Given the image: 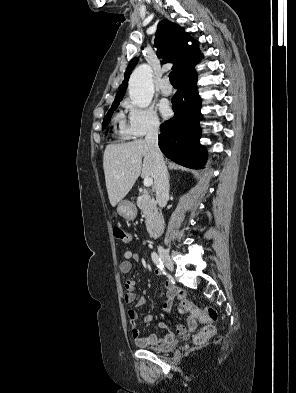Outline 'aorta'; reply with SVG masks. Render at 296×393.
<instances>
[{
	"instance_id": "1",
	"label": "aorta",
	"mask_w": 296,
	"mask_h": 393,
	"mask_svg": "<svg viewBox=\"0 0 296 393\" xmlns=\"http://www.w3.org/2000/svg\"><path fill=\"white\" fill-rule=\"evenodd\" d=\"M132 102L142 108L148 107L154 95L152 70L149 65L138 66L131 74L128 83Z\"/></svg>"
}]
</instances>
